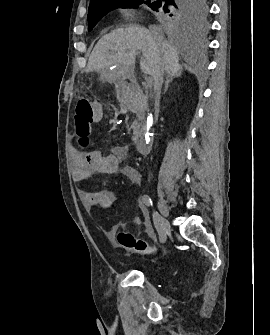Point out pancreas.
<instances>
[{"mask_svg": "<svg viewBox=\"0 0 270 335\" xmlns=\"http://www.w3.org/2000/svg\"><path fill=\"white\" fill-rule=\"evenodd\" d=\"M133 128V136H132V142H137L139 140L142 132L145 130V124H139L138 120H135L134 124H132Z\"/></svg>", "mask_w": 270, "mask_h": 335, "instance_id": "pancreas-1", "label": "pancreas"}]
</instances>
